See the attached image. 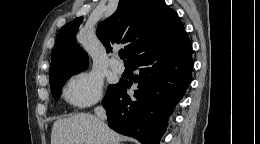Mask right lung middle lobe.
Returning <instances> with one entry per match:
<instances>
[{
	"label": "right lung middle lobe",
	"mask_w": 260,
	"mask_h": 144,
	"mask_svg": "<svg viewBox=\"0 0 260 144\" xmlns=\"http://www.w3.org/2000/svg\"><path fill=\"white\" fill-rule=\"evenodd\" d=\"M85 68H76V69H69L64 70L61 72L54 73L49 76L50 78V86L53 92V96L55 99H58L60 96V90L62 89L63 85L71 76L85 70ZM114 85H109L107 91L112 88Z\"/></svg>",
	"instance_id": "1"
}]
</instances>
